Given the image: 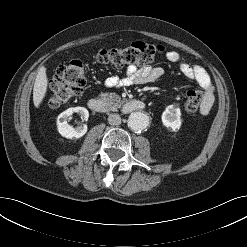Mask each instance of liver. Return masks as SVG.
<instances>
[{"mask_svg":"<svg viewBox=\"0 0 247 247\" xmlns=\"http://www.w3.org/2000/svg\"><path fill=\"white\" fill-rule=\"evenodd\" d=\"M48 86V78L46 74V68L42 66L36 76L34 88H33V102L36 108H39L42 103Z\"/></svg>","mask_w":247,"mask_h":247,"instance_id":"1","label":"liver"}]
</instances>
